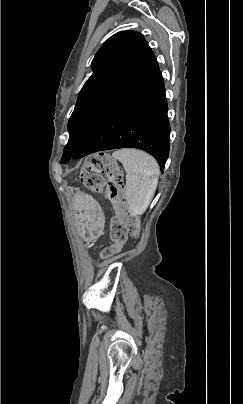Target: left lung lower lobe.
I'll use <instances>...</instances> for the list:
<instances>
[{
	"instance_id": "1",
	"label": "left lung lower lobe",
	"mask_w": 243,
	"mask_h": 404,
	"mask_svg": "<svg viewBox=\"0 0 243 404\" xmlns=\"http://www.w3.org/2000/svg\"><path fill=\"white\" fill-rule=\"evenodd\" d=\"M167 111L163 77L158 71L105 111L78 151L62 163L97 151L127 147L151 154L163 172L169 154Z\"/></svg>"
}]
</instances>
